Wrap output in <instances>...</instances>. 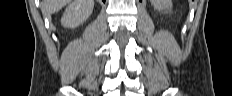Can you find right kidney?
I'll return each instance as SVG.
<instances>
[{
    "mask_svg": "<svg viewBox=\"0 0 232 96\" xmlns=\"http://www.w3.org/2000/svg\"><path fill=\"white\" fill-rule=\"evenodd\" d=\"M94 0H74L66 8L61 24L67 28H75L82 24L92 13Z\"/></svg>",
    "mask_w": 232,
    "mask_h": 96,
    "instance_id": "right-kidney-1",
    "label": "right kidney"
}]
</instances>
